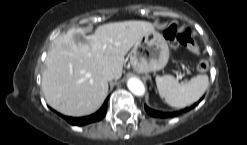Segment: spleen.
Instances as JSON below:
<instances>
[{"label":"spleen","mask_w":247,"mask_h":145,"mask_svg":"<svg viewBox=\"0 0 247 145\" xmlns=\"http://www.w3.org/2000/svg\"><path fill=\"white\" fill-rule=\"evenodd\" d=\"M155 80L160 97L175 108H184L199 100L209 85L207 75H197L184 83L171 75L157 76Z\"/></svg>","instance_id":"obj_1"}]
</instances>
